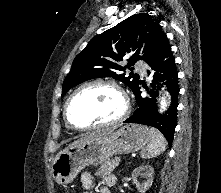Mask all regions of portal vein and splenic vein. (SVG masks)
Instances as JSON below:
<instances>
[{
    "instance_id": "portal-vein-and-splenic-vein-1",
    "label": "portal vein and splenic vein",
    "mask_w": 221,
    "mask_h": 193,
    "mask_svg": "<svg viewBox=\"0 0 221 193\" xmlns=\"http://www.w3.org/2000/svg\"><path fill=\"white\" fill-rule=\"evenodd\" d=\"M115 166H119V161H117V162L115 163Z\"/></svg>"
}]
</instances>
